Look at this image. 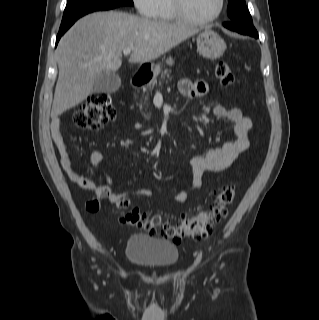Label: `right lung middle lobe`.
<instances>
[{
  "mask_svg": "<svg viewBox=\"0 0 319 320\" xmlns=\"http://www.w3.org/2000/svg\"><path fill=\"white\" fill-rule=\"evenodd\" d=\"M125 5H133L132 0H68L60 28L73 24L85 14Z\"/></svg>",
  "mask_w": 319,
  "mask_h": 320,
  "instance_id": "dd1d6c3e",
  "label": "right lung middle lobe"
}]
</instances>
